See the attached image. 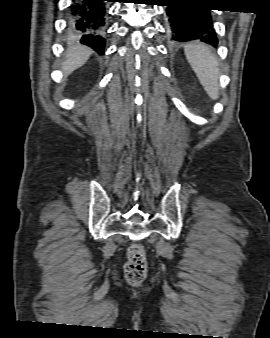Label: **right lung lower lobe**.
<instances>
[{"label":"right lung lower lobe","mask_w":270,"mask_h":338,"mask_svg":"<svg viewBox=\"0 0 270 338\" xmlns=\"http://www.w3.org/2000/svg\"><path fill=\"white\" fill-rule=\"evenodd\" d=\"M113 0H72L69 7V35L104 53L106 3Z\"/></svg>","instance_id":"obj_1"}]
</instances>
